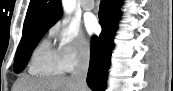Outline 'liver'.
<instances>
[{"label": "liver", "mask_w": 173, "mask_h": 91, "mask_svg": "<svg viewBox=\"0 0 173 91\" xmlns=\"http://www.w3.org/2000/svg\"><path fill=\"white\" fill-rule=\"evenodd\" d=\"M71 77H30L18 78L12 91H80ZM86 91H89L88 88Z\"/></svg>", "instance_id": "1"}]
</instances>
